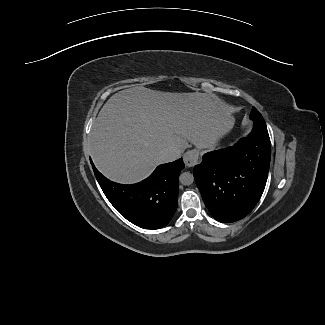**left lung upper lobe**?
<instances>
[{
  "label": "left lung upper lobe",
  "instance_id": "left-lung-upper-lobe-1",
  "mask_svg": "<svg viewBox=\"0 0 325 325\" xmlns=\"http://www.w3.org/2000/svg\"><path fill=\"white\" fill-rule=\"evenodd\" d=\"M250 117L251 118H263L262 115L260 114V112L255 107L252 108Z\"/></svg>",
  "mask_w": 325,
  "mask_h": 325
}]
</instances>
